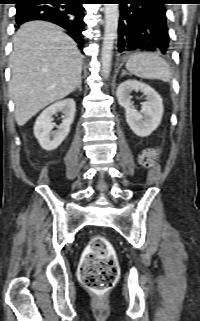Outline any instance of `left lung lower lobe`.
Listing matches in <instances>:
<instances>
[{"instance_id":"left-lung-lower-lobe-1","label":"left lung lower lobe","mask_w":200,"mask_h":321,"mask_svg":"<svg viewBox=\"0 0 200 321\" xmlns=\"http://www.w3.org/2000/svg\"><path fill=\"white\" fill-rule=\"evenodd\" d=\"M120 4L118 52L142 49L166 53L169 35L166 8L169 0H115Z\"/></svg>"}]
</instances>
